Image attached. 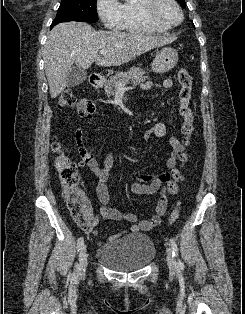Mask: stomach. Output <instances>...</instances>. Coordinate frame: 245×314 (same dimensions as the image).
Listing matches in <instances>:
<instances>
[{
  "label": "stomach",
  "instance_id": "stomach-1",
  "mask_svg": "<svg viewBox=\"0 0 245 314\" xmlns=\"http://www.w3.org/2000/svg\"><path fill=\"white\" fill-rule=\"evenodd\" d=\"M177 61V51L171 47H165L157 53L152 63V71L159 74L166 73L175 67Z\"/></svg>",
  "mask_w": 245,
  "mask_h": 314
}]
</instances>
